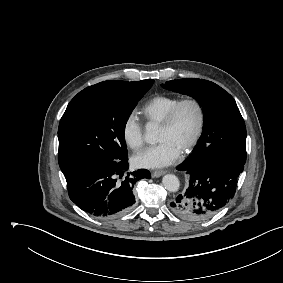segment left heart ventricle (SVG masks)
Segmentation results:
<instances>
[{
    "mask_svg": "<svg viewBox=\"0 0 283 283\" xmlns=\"http://www.w3.org/2000/svg\"><path fill=\"white\" fill-rule=\"evenodd\" d=\"M197 111L191 104L185 105L179 112L171 129L160 128L158 141H169L181 151L192 138L197 126Z\"/></svg>",
    "mask_w": 283,
    "mask_h": 283,
    "instance_id": "1",
    "label": "left heart ventricle"
}]
</instances>
